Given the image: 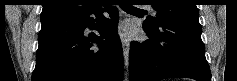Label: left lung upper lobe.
<instances>
[{
    "label": "left lung upper lobe",
    "instance_id": "1",
    "mask_svg": "<svg viewBox=\"0 0 237 81\" xmlns=\"http://www.w3.org/2000/svg\"><path fill=\"white\" fill-rule=\"evenodd\" d=\"M156 17H148L145 24L154 27L168 20L199 22L195 0H152Z\"/></svg>",
    "mask_w": 237,
    "mask_h": 81
}]
</instances>
